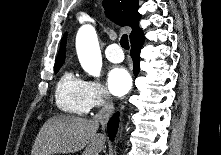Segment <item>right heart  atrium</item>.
Returning a JSON list of instances; mask_svg holds the SVG:
<instances>
[{"label":"right heart atrium","mask_w":221,"mask_h":155,"mask_svg":"<svg viewBox=\"0 0 221 155\" xmlns=\"http://www.w3.org/2000/svg\"><path fill=\"white\" fill-rule=\"evenodd\" d=\"M85 84L86 96L91 108H100L109 103V94L100 82L87 80Z\"/></svg>","instance_id":"obj_1"}]
</instances>
